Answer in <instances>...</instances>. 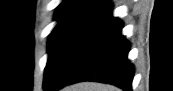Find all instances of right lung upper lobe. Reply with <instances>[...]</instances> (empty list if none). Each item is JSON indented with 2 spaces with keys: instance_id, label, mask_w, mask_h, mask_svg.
I'll return each instance as SVG.
<instances>
[{
  "instance_id": "1",
  "label": "right lung upper lobe",
  "mask_w": 173,
  "mask_h": 91,
  "mask_svg": "<svg viewBox=\"0 0 173 91\" xmlns=\"http://www.w3.org/2000/svg\"><path fill=\"white\" fill-rule=\"evenodd\" d=\"M103 0H64L57 8L55 20L62 23L85 24L111 7Z\"/></svg>"
}]
</instances>
